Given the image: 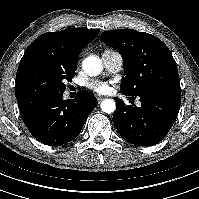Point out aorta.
<instances>
[{
  "instance_id": "aorta-1",
  "label": "aorta",
  "mask_w": 199,
  "mask_h": 199,
  "mask_svg": "<svg viewBox=\"0 0 199 199\" xmlns=\"http://www.w3.org/2000/svg\"><path fill=\"white\" fill-rule=\"evenodd\" d=\"M83 70L90 76L99 74L102 69V61L95 56H88L82 63ZM101 109L105 113H113L116 109V103L113 99H105L101 102Z\"/></svg>"
}]
</instances>
